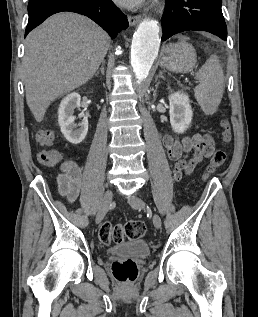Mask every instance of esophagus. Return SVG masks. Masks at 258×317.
I'll return each mask as SVG.
<instances>
[{
	"label": "esophagus",
	"instance_id": "esophagus-1",
	"mask_svg": "<svg viewBox=\"0 0 258 317\" xmlns=\"http://www.w3.org/2000/svg\"><path fill=\"white\" fill-rule=\"evenodd\" d=\"M128 21L130 26H135L137 23L141 21V16L140 15L128 16Z\"/></svg>",
	"mask_w": 258,
	"mask_h": 317
}]
</instances>
